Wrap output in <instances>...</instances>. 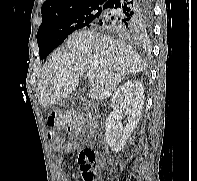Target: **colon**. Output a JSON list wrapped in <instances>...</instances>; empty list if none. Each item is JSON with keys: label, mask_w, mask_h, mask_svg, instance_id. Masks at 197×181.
I'll return each mask as SVG.
<instances>
[{"label": "colon", "mask_w": 197, "mask_h": 181, "mask_svg": "<svg viewBox=\"0 0 197 181\" xmlns=\"http://www.w3.org/2000/svg\"><path fill=\"white\" fill-rule=\"evenodd\" d=\"M56 127L67 128L72 133L81 130V119L77 114L52 113L48 117L47 138L54 150L60 148L62 139L56 131ZM79 164L84 181H94L95 167L102 164V158L91 149H83L79 153Z\"/></svg>", "instance_id": "obj_1"}]
</instances>
